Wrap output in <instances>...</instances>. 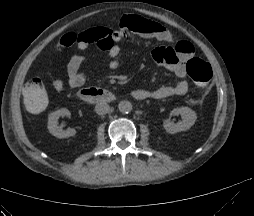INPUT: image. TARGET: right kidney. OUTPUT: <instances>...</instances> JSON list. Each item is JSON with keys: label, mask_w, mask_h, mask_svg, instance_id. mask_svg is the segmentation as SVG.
Here are the masks:
<instances>
[{"label": "right kidney", "mask_w": 254, "mask_h": 216, "mask_svg": "<svg viewBox=\"0 0 254 216\" xmlns=\"http://www.w3.org/2000/svg\"><path fill=\"white\" fill-rule=\"evenodd\" d=\"M70 112L66 108H61L55 112H52L48 116V130L49 132L57 138H68L76 134V130L73 128H68L63 131L60 126H58V119L61 116H68Z\"/></svg>", "instance_id": "obj_1"}]
</instances>
